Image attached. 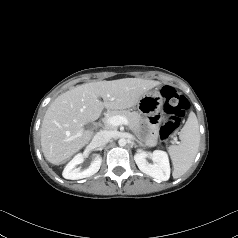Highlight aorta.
I'll return each mask as SVG.
<instances>
[{
    "label": "aorta",
    "mask_w": 238,
    "mask_h": 238,
    "mask_svg": "<svg viewBox=\"0 0 238 238\" xmlns=\"http://www.w3.org/2000/svg\"><path fill=\"white\" fill-rule=\"evenodd\" d=\"M118 144H119L120 146H125V145L127 144V140H126L125 138H120V139L118 140Z\"/></svg>",
    "instance_id": "obj_1"
}]
</instances>
